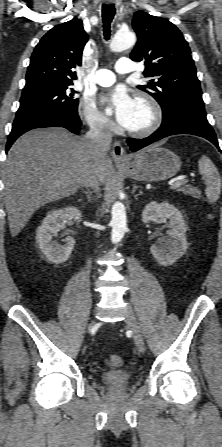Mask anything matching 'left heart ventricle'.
<instances>
[{
    "instance_id": "1",
    "label": "left heart ventricle",
    "mask_w": 222,
    "mask_h": 447,
    "mask_svg": "<svg viewBox=\"0 0 222 447\" xmlns=\"http://www.w3.org/2000/svg\"><path fill=\"white\" fill-rule=\"evenodd\" d=\"M149 119H150V113L148 108L145 105L136 102L134 114L128 128L131 129L140 128L146 125Z\"/></svg>"
}]
</instances>
